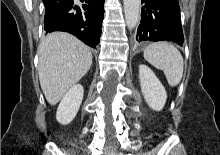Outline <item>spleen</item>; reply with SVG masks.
Returning a JSON list of instances; mask_svg holds the SVG:
<instances>
[{"mask_svg":"<svg viewBox=\"0 0 220 155\" xmlns=\"http://www.w3.org/2000/svg\"><path fill=\"white\" fill-rule=\"evenodd\" d=\"M144 58L152 66L164 72L170 86H177L183 76V57L179 50L169 42H156L144 50Z\"/></svg>","mask_w":220,"mask_h":155,"instance_id":"3e777b00","label":"spleen"}]
</instances>
